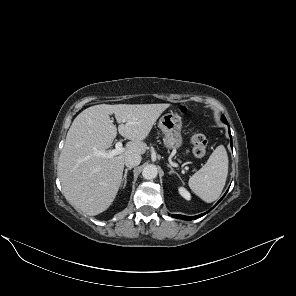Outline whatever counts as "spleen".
<instances>
[{"label":"spleen","mask_w":296,"mask_h":296,"mask_svg":"<svg viewBox=\"0 0 296 296\" xmlns=\"http://www.w3.org/2000/svg\"><path fill=\"white\" fill-rule=\"evenodd\" d=\"M228 175V155L223 145L216 147L205 165L193 174L188 185L203 201L211 203L222 193Z\"/></svg>","instance_id":"obj_1"}]
</instances>
